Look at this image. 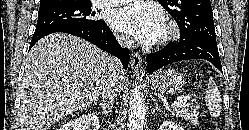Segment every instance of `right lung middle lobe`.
I'll return each mask as SVG.
<instances>
[{
	"mask_svg": "<svg viewBox=\"0 0 249 130\" xmlns=\"http://www.w3.org/2000/svg\"><path fill=\"white\" fill-rule=\"evenodd\" d=\"M89 0H78L69 4L40 7L35 30H43L60 25L97 26L102 19H93L95 12L91 10Z\"/></svg>",
	"mask_w": 249,
	"mask_h": 130,
	"instance_id": "right-lung-middle-lobe-1",
	"label": "right lung middle lobe"
}]
</instances>
